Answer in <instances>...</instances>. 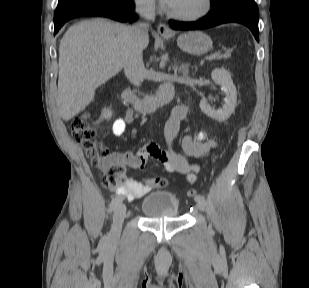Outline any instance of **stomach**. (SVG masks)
I'll return each mask as SVG.
<instances>
[{
	"instance_id": "obj_1",
	"label": "stomach",
	"mask_w": 309,
	"mask_h": 288,
	"mask_svg": "<svg viewBox=\"0 0 309 288\" xmlns=\"http://www.w3.org/2000/svg\"><path fill=\"white\" fill-rule=\"evenodd\" d=\"M169 39V36H163ZM178 47L191 54H204L212 48V41L209 36L200 31H191L180 35L177 39Z\"/></svg>"
}]
</instances>
